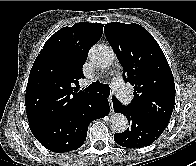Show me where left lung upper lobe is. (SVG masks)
<instances>
[{"mask_svg":"<svg viewBox=\"0 0 196 166\" xmlns=\"http://www.w3.org/2000/svg\"><path fill=\"white\" fill-rule=\"evenodd\" d=\"M104 30L124 68V80L134 86V99L127 107L168 125L175 103V85L159 44L135 23L112 22Z\"/></svg>","mask_w":196,"mask_h":166,"instance_id":"left-lung-upper-lobe-1","label":"left lung upper lobe"}]
</instances>
